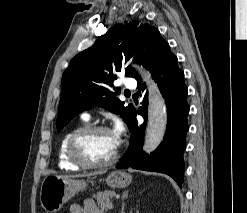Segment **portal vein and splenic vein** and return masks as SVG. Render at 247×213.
<instances>
[{
    "label": "portal vein and splenic vein",
    "instance_id": "18ae733b",
    "mask_svg": "<svg viewBox=\"0 0 247 213\" xmlns=\"http://www.w3.org/2000/svg\"><path fill=\"white\" fill-rule=\"evenodd\" d=\"M107 208H108V209H113V204H112V203H108V204H107Z\"/></svg>",
    "mask_w": 247,
    "mask_h": 213
}]
</instances>
